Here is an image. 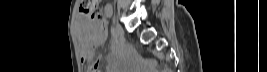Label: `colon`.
I'll return each instance as SVG.
<instances>
[{"label":"colon","instance_id":"obj_1","mask_svg":"<svg viewBox=\"0 0 267 72\" xmlns=\"http://www.w3.org/2000/svg\"><path fill=\"white\" fill-rule=\"evenodd\" d=\"M102 2H103L102 0H81L80 1L81 11L86 14H89L93 25L99 28V31L97 32L98 35L102 34V24H101L102 11L100 8V4ZM91 70L93 72L100 71L98 62H93L91 64Z\"/></svg>","mask_w":267,"mask_h":72}]
</instances>
